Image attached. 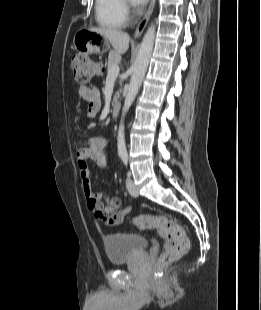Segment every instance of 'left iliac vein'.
Masks as SVG:
<instances>
[{"label": "left iliac vein", "mask_w": 261, "mask_h": 310, "mask_svg": "<svg viewBox=\"0 0 261 310\" xmlns=\"http://www.w3.org/2000/svg\"><path fill=\"white\" fill-rule=\"evenodd\" d=\"M126 187L131 196L137 197L139 195L137 187L135 186L133 180L130 178V173H128L126 179Z\"/></svg>", "instance_id": "left-iliac-vein-1"}]
</instances>
